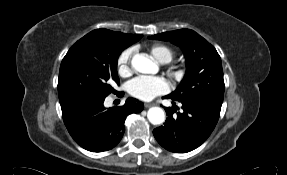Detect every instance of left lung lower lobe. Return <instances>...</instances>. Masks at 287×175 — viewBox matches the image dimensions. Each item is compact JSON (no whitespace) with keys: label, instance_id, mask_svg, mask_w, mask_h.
Returning a JSON list of instances; mask_svg holds the SVG:
<instances>
[{"label":"left lung lower lobe","instance_id":"0a47b994","mask_svg":"<svg viewBox=\"0 0 287 175\" xmlns=\"http://www.w3.org/2000/svg\"><path fill=\"white\" fill-rule=\"evenodd\" d=\"M169 98L175 104L170 95ZM182 111L173 115L176 110L165 108L167 119L163 126L153 130L154 137L165 149L175 153H186L199 147L214 130L219 114L209 106L182 100Z\"/></svg>","mask_w":287,"mask_h":175}]
</instances>
